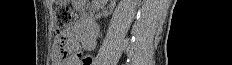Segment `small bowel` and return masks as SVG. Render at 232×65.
<instances>
[{"mask_svg": "<svg viewBox=\"0 0 232 65\" xmlns=\"http://www.w3.org/2000/svg\"><path fill=\"white\" fill-rule=\"evenodd\" d=\"M65 38V48L69 52H74L82 47L84 50L91 51L96 47L95 37L88 34L82 22H77L73 27L63 32ZM57 39V38H56ZM71 65H80L78 61H74Z\"/></svg>", "mask_w": 232, "mask_h": 65, "instance_id": "obj_1", "label": "small bowel"}]
</instances>
